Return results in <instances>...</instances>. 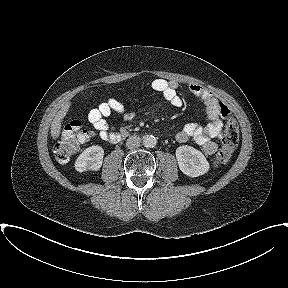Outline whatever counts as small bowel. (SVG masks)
Masks as SVG:
<instances>
[{
    "instance_id": "small-bowel-1",
    "label": "small bowel",
    "mask_w": 288,
    "mask_h": 288,
    "mask_svg": "<svg viewBox=\"0 0 288 288\" xmlns=\"http://www.w3.org/2000/svg\"><path fill=\"white\" fill-rule=\"evenodd\" d=\"M151 87L154 91L160 93L172 106L181 107L183 105V99L178 93L179 84L177 82L157 78L152 81ZM188 89L203 102L209 123L205 126H200L196 123L186 124L177 133L176 140L179 143H185L189 139H193L205 154L211 155L217 150V144L214 139L221 136L223 120L229 110L205 87L198 84H190ZM113 112L122 114L126 120L133 117L132 113L125 112L124 105L116 98L108 99L97 108L91 110L88 115V120L98 131L99 137L109 143H116L125 135L124 130L115 129L108 124L106 118Z\"/></svg>"
}]
</instances>
